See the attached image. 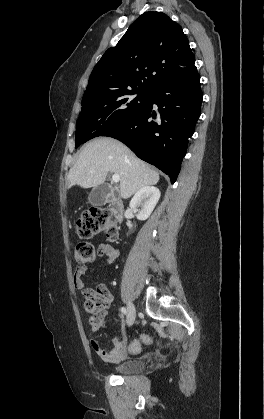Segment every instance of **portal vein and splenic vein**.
<instances>
[{
	"mask_svg": "<svg viewBox=\"0 0 264 419\" xmlns=\"http://www.w3.org/2000/svg\"><path fill=\"white\" fill-rule=\"evenodd\" d=\"M112 181L115 182V183H118L120 181V176L117 175V174H114L112 176Z\"/></svg>",
	"mask_w": 264,
	"mask_h": 419,
	"instance_id": "portal-vein-and-splenic-vein-1",
	"label": "portal vein and splenic vein"
}]
</instances>
